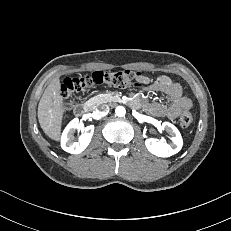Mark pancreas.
Listing matches in <instances>:
<instances>
[{
    "label": "pancreas",
    "mask_w": 231,
    "mask_h": 231,
    "mask_svg": "<svg viewBox=\"0 0 231 231\" xmlns=\"http://www.w3.org/2000/svg\"><path fill=\"white\" fill-rule=\"evenodd\" d=\"M114 98L113 95L111 94H102V95H99V96H95L93 98V100L97 103V104H102V103H106V102H110L112 101Z\"/></svg>",
    "instance_id": "pancreas-1"
}]
</instances>
